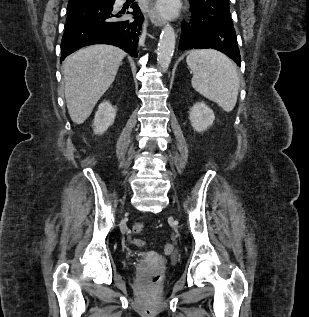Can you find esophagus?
I'll list each match as a JSON object with an SVG mask.
<instances>
[{"label":"esophagus","instance_id":"esophagus-1","mask_svg":"<svg viewBox=\"0 0 309 317\" xmlns=\"http://www.w3.org/2000/svg\"><path fill=\"white\" fill-rule=\"evenodd\" d=\"M148 16L152 24H154L155 26H163L166 22L165 19L157 13L154 6L150 7L148 11Z\"/></svg>","mask_w":309,"mask_h":317}]
</instances>
